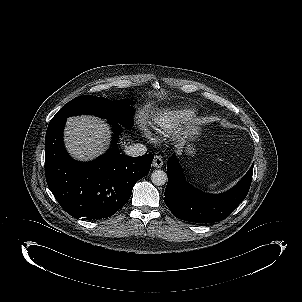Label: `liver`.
I'll return each mask as SVG.
<instances>
[{"label": "liver", "mask_w": 302, "mask_h": 302, "mask_svg": "<svg viewBox=\"0 0 302 302\" xmlns=\"http://www.w3.org/2000/svg\"><path fill=\"white\" fill-rule=\"evenodd\" d=\"M155 122L165 133L176 141V147L184 144L186 130L178 127L179 123L169 116L161 114ZM109 125L100 118L81 115L67 119L64 130V141L69 153L81 161L92 160L101 155L110 141Z\"/></svg>", "instance_id": "6515ba94"}]
</instances>
